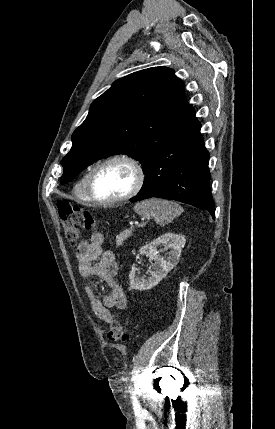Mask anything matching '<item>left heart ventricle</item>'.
<instances>
[{
    "instance_id": "left-heart-ventricle-1",
    "label": "left heart ventricle",
    "mask_w": 275,
    "mask_h": 429,
    "mask_svg": "<svg viewBox=\"0 0 275 429\" xmlns=\"http://www.w3.org/2000/svg\"><path fill=\"white\" fill-rule=\"evenodd\" d=\"M134 181L133 170L125 163L115 162L101 168L93 181V193L98 199H113L127 193Z\"/></svg>"
}]
</instances>
